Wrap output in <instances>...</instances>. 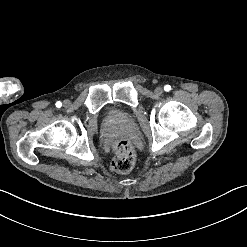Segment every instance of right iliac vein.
Wrapping results in <instances>:
<instances>
[{
  "mask_svg": "<svg viewBox=\"0 0 247 247\" xmlns=\"http://www.w3.org/2000/svg\"><path fill=\"white\" fill-rule=\"evenodd\" d=\"M63 105L65 107H68L70 105V101L69 100H64Z\"/></svg>",
  "mask_w": 247,
  "mask_h": 247,
  "instance_id": "right-iliac-vein-1",
  "label": "right iliac vein"
}]
</instances>
